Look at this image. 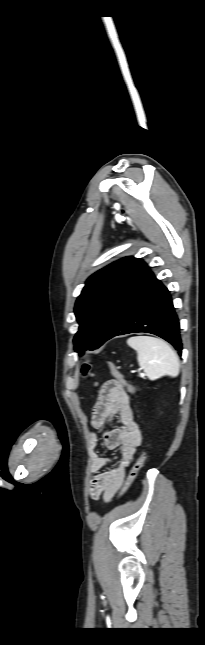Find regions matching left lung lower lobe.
<instances>
[{"mask_svg":"<svg viewBox=\"0 0 205 645\" xmlns=\"http://www.w3.org/2000/svg\"><path fill=\"white\" fill-rule=\"evenodd\" d=\"M137 332L165 339L181 355L179 320L170 292L142 259H138L121 288L104 342L118 335Z\"/></svg>","mask_w":205,"mask_h":645,"instance_id":"1","label":"left lung lower lobe"}]
</instances>
